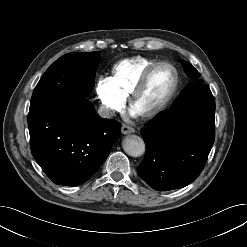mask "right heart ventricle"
<instances>
[{"instance_id":"e07e8e85","label":"right heart ventricle","mask_w":247,"mask_h":247,"mask_svg":"<svg viewBox=\"0 0 247 247\" xmlns=\"http://www.w3.org/2000/svg\"><path fill=\"white\" fill-rule=\"evenodd\" d=\"M155 62L157 60L143 56L120 60L112 67L110 82L116 91L126 98L142 72Z\"/></svg>"}]
</instances>
